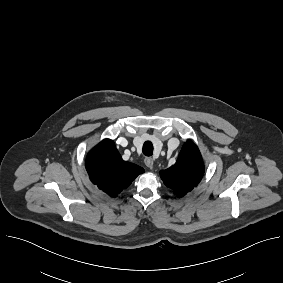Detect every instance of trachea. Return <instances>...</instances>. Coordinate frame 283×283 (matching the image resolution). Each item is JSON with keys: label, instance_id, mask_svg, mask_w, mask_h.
Returning <instances> with one entry per match:
<instances>
[{"label": "trachea", "instance_id": "3493384b", "mask_svg": "<svg viewBox=\"0 0 283 283\" xmlns=\"http://www.w3.org/2000/svg\"><path fill=\"white\" fill-rule=\"evenodd\" d=\"M143 154L145 156H151L153 154V144L150 141H146L143 144Z\"/></svg>", "mask_w": 283, "mask_h": 283}]
</instances>
